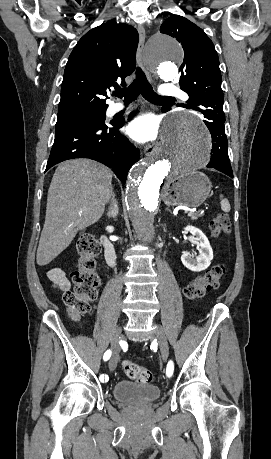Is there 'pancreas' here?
Returning a JSON list of instances; mask_svg holds the SVG:
<instances>
[{
	"mask_svg": "<svg viewBox=\"0 0 271 459\" xmlns=\"http://www.w3.org/2000/svg\"><path fill=\"white\" fill-rule=\"evenodd\" d=\"M191 220H197L196 216L191 217Z\"/></svg>",
	"mask_w": 271,
	"mask_h": 459,
	"instance_id": "obj_1",
	"label": "pancreas"
}]
</instances>
